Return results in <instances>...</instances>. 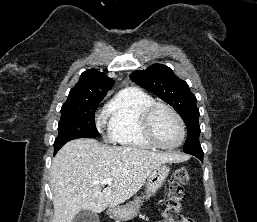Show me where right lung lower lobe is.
I'll use <instances>...</instances> for the list:
<instances>
[{
    "instance_id": "obj_1",
    "label": "right lung lower lobe",
    "mask_w": 257,
    "mask_h": 222,
    "mask_svg": "<svg viewBox=\"0 0 257 222\" xmlns=\"http://www.w3.org/2000/svg\"><path fill=\"white\" fill-rule=\"evenodd\" d=\"M58 150H59V149H54V155L57 153Z\"/></svg>"
}]
</instances>
